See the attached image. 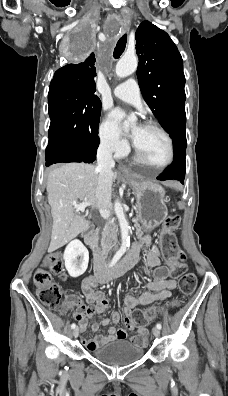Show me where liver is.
<instances>
[{"instance_id":"6515ba94","label":"liver","mask_w":228,"mask_h":396,"mask_svg":"<svg viewBox=\"0 0 228 396\" xmlns=\"http://www.w3.org/2000/svg\"><path fill=\"white\" fill-rule=\"evenodd\" d=\"M116 177L117 174L113 173L112 181ZM98 178L97 167L85 163L64 164L49 173L46 189L53 218L49 252L62 247L88 228L89 221L78 214L74 204L88 201L91 209L97 206Z\"/></svg>"}]
</instances>
